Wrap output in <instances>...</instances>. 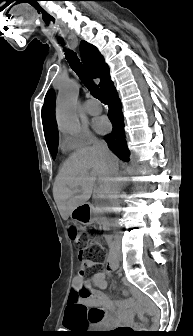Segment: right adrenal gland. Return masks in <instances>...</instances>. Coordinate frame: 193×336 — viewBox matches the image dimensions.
Instances as JSON below:
<instances>
[{
  "label": "right adrenal gland",
  "mask_w": 193,
  "mask_h": 336,
  "mask_svg": "<svg viewBox=\"0 0 193 336\" xmlns=\"http://www.w3.org/2000/svg\"><path fill=\"white\" fill-rule=\"evenodd\" d=\"M126 180H123L122 178L119 179L118 181V188L119 190L122 188V187H125L126 186Z\"/></svg>",
  "instance_id": "right-adrenal-gland-1"
}]
</instances>
